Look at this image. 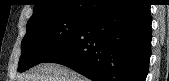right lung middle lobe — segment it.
Returning a JSON list of instances; mask_svg holds the SVG:
<instances>
[{"label":"right lung middle lobe","instance_id":"1","mask_svg":"<svg viewBox=\"0 0 169 81\" xmlns=\"http://www.w3.org/2000/svg\"><path fill=\"white\" fill-rule=\"evenodd\" d=\"M89 17L50 16L27 24V33L22 40V55L18 71L43 62L66 45L85 25Z\"/></svg>","mask_w":169,"mask_h":81}]
</instances>
